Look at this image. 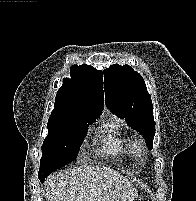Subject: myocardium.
<instances>
[{
    "instance_id": "f54148a6",
    "label": "myocardium",
    "mask_w": 196,
    "mask_h": 201,
    "mask_svg": "<svg viewBox=\"0 0 196 201\" xmlns=\"http://www.w3.org/2000/svg\"><path fill=\"white\" fill-rule=\"evenodd\" d=\"M136 152H137V154H138L139 156H142V155L145 154V149H144L142 146H139V147L137 148Z\"/></svg>"
}]
</instances>
